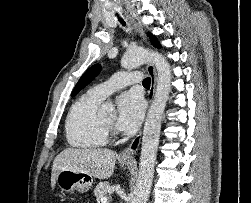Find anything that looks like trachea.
Instances as JSON below:
<instances>
[{"mask_svg":"<svg viewBox=\"0 0 251 203\" xmlns=\"http://www.w3.org/2000/svg\"><path fill=\"white\" fill-rule=\"evenodd\" d=\"M117 16H118V14H117ZM118 19H119V21L122 23L123 26L126 25V23L124 22V20H123L122 18H120V17L118 16ZM150 83H151V80H150L149 77H147V78H145V79L143 80V86H149V87H150Z\"/></svg>","mask_w":251,"mask_h":203,"instance_id":"3493384b","label":"trachea"}]
</instances>
